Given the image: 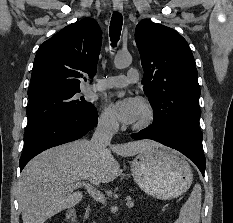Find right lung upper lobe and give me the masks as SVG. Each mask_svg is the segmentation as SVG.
<instances>
[{"label":"right lung upper lobe","mask_w":233,"mask_h":223,"mask_svg":"<svg viewBox=\"0 0 233 223\" xmlns=\"http://www.w3.org/2000/svg\"><path fill=\"white\" fill-rule=\"evenodd\" d=\"M102 32L94 19L70 24L38 49L28 94L55 87H79L96 74Z\"/></svg>","instance_id":"1"}]
</instances>
